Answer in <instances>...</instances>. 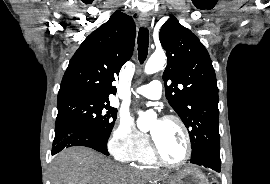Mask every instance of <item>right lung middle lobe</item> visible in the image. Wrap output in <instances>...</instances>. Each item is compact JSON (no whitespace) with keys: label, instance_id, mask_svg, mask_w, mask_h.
<instances>
[{"label":"right lung middle lobe","instance_id":"1","mask_svg":"<svg viewBox=\"0 0 270 184\" xmlns=\"http://www.w3.org/2000/svg\"><path fill=\"white\" fill-rule=\"evenodd\" d=\"M117 117V109L109 101L87 96L58 98L56 127L78 126L108 140Z\"/></svg>","mask_w":270,"mask_h":184}]
</instances>
